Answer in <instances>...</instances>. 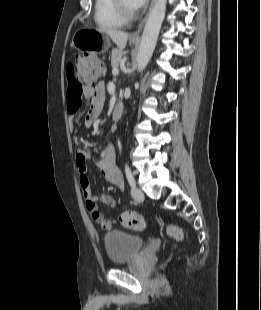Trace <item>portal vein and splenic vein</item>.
<instances>
[{
  "mask_svg": "<svg viewBox=\"0 0 261 310\" xmlns=\"http://www.w3.org/2000/svg\"><path fill=\"white\" fill-rule=\"evenodd\" d=\"M112 74L115 75V76L118 75L119 74L118 68H113Z\"/></svg>",
  "mask_w": 261,
  "mask_h": 310,
  "instance_id": "1",
  "label": "portal vein and splenic vein"
}]
</instances>
